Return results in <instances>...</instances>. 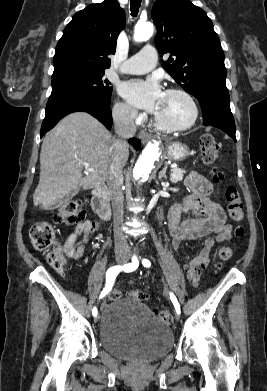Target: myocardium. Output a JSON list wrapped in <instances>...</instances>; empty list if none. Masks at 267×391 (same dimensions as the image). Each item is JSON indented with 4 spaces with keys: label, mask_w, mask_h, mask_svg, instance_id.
<instances>
[{
    "label": "myocardium",
    "mask_w": 267,
    "mask_h": 391,
    "mask_svg": "<svg viewBox=\"0 0 267 391\" xmlns=\"http://www.w3.org/2000/svg\"><path fill=\"white\" fill-rule=\"evenodd\" d=\"M165 93L179 94V95L183 96L187 100V102L189 103V105L191 107L192 115H191L190 120L183 125H172V124H169V123L162 121L157 116H155L156 125L161 129L171 131V132L185 131V130L192 128L196 124V122L198 121V118H199V107H198V104H197L195 98L192 96V94L189 93L185 89L177 88V87L169 88L165 91Z\"/></svg>",
    "instance_id": "obj_1"
}]
</instances>
